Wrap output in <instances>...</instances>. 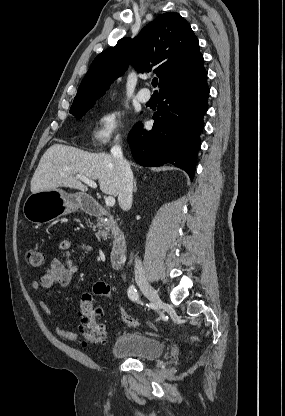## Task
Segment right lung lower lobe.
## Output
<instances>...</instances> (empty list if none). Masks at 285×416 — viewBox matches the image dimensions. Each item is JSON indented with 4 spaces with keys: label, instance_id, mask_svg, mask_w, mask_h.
Instances as JSON below:
<instances>
[{
    "label": "right lung lower lobe",
    "instance_id": "98d812e1",
    "mask_svg": "<svg viewBox=\"0 0 285 416\" xmlns=\"http://www.w3.org/2000/svg\"><path fill=\"white\" fill-rule=\"evenodd\" d=\"M208 96L207 72L160 92L152 130L146 131L138 123L129 133L135 161L143 166L172 163L192 180Z\"/></svg>",
    "mask_w": 285,
    "mask_h": 416
}]
</instances>
